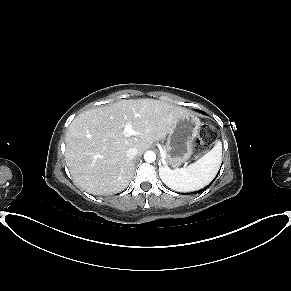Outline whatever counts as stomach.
<instances>
[{"mask_svg":"<svg viewBox=\"0 0 291 291\" xmlns=\"http://www.w3.org/2000/svg\"><path fill=\"white\" fill-rule=\"evenodd\" d=\"M200 120L194 114L182 116L173 126L163 148L165 167L177 166L186 162L193 153V140L198 135Z\"/></svg>","mask_w":291,"mask_h":291,"instance_id":"stomach-1","label":"stomach"}]
</instances>
